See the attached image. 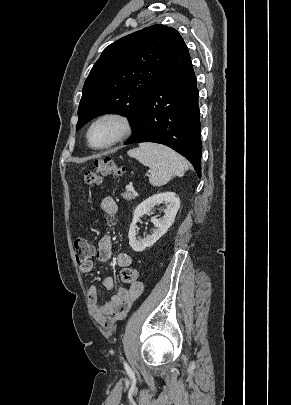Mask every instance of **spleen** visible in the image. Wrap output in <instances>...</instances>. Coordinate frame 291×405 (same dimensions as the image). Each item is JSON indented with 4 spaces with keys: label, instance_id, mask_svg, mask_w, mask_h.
<instances>
[{
    "label": "spleen",
    "instance_id": "spleen-1",
    "mask_svg": "<svg viewBox=\"0 0 291 405\" xmlns=\"http://www.w3.org/2000/svg\"><path fill=\"white\" fill-rule=\"evenodd\" d=\"M128 155L150 168L149 182L156 187L167 184L173 176L182 177L188 170V163L170 148L152 143L141 144Z\"/></svg>",
    "mask_w": 291,
    "mask_h": 405
}]
</instances>
